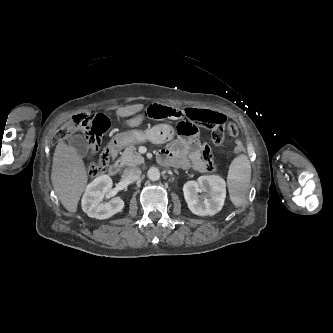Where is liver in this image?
<instances>
[{
	"label": "liver",
	"instance_id": "liver-1",
	"mask_svg": "<svg viewBox=\"0 0 333 333\" xmlns=\"http://www.w3.org/2000/svg\"><path fill=\"white\" fill-rule=\"evenodd\" d=\"M143 107V104L120 107L117 109L116 115L127 117L141 111ZM51 180L62 205L69 212H76L88 176L83 160L65 144L60 143L56 146Z\"/></svg>",
	"mask_w": 333,
	"mask_h": 333
}]
</instances>
